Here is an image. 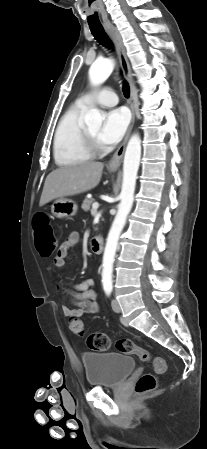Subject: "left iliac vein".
<instances>
[{
  "instance_id": "4c4485c4",
  "label": "left iliac vein",
  "mask_w": 207,
  "mask_h": 449,
  "mask_svg": "<svg viewBox=\"0 0 207 449\" xmlns=\"http://www.w3.org/2000/svg\"><path fill=\"white\" fill-rule=\"evenodd\" d=\"M112 309L114 312L119 313L120 312V306L117 300L113 299L111 302Z\"/></svg>"
}]
</instances>
